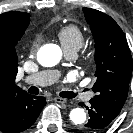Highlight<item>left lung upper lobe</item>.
I'll return each mask as SVG.
<instances>
[{
	"label": "left lung upper lobe",
	"instance_id": "left-lung-upper-lobe-1",
	"mask_svg": "<svg viewBox=\"0 0 133 133\" xmlns=\"http://www.w3.org/2000/svg\"><path fill=\"white\" fill-rule=\"evenodd\" d=\"M95 41L97 80L94 98L122 108L128 94L132 75V57L125 34L108 15L91 8H83Z\"/></svg>",
	"mask_w": 133,
	"mask_h": 133
}]
</instances>
